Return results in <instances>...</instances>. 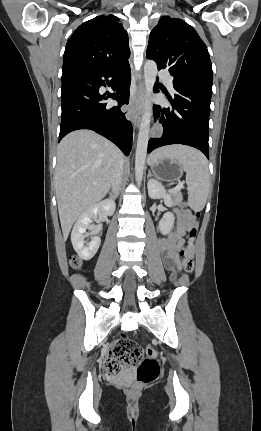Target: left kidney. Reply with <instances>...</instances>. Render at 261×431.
Here are the masks:
<instances>
[{
	"instance_id": "5707ae66",
	"label": "left kidney",
	"mask_w": 261,
	"mask_h": 431,
	"mask_svg": "<svg viewBox=\"0 0 261 431\" xmlns=\"http://www.w3.org/2000/svg\"><path fill=\"white\" fill-rule=\"evenodd\" d=\"M148 194L152 199L163 198L167 206L172 205L171 197L166 194L162 184L154 179L148 181ZM175 217L171 212L166 213L159 222V228L163 235L168 234L174 226Z\"/></svg>"
}]
</instances>
